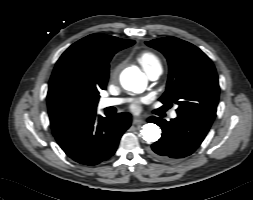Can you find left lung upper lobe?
<instances>
[{
	"label": "left lung upper lobe",
	"instance_id": "1",
	"mask_svg": "<svg viewBox=\"0 0 253 200\" xmlns=\"http://www.w3.org/2000/svg\"><path fill=\"white\" fill-rule=\"evenodd\" d=\"M146 44L162 52L169 63L167 87L160 101L170 106L177 104V114L214 119L219 84L209 57L193 44L175 37L154 39Z\"/></svg>",
	"mask_w": 253,
	"mask_h": 200
}]
</instances>
